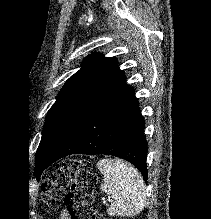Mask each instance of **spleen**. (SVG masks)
<instances>
[{
    "label": "spleen",
    "mask_w": 211,
    "mask_h": 219,
    "mask_svg": "<svg viewBox=\"0 0 211 219\" xmlns=\"http://www.w3.org/2000/svg\"><path fill=\"white\" fill-rule=\"evenodd\" d=\"M97 167L104 178L102 191L114 199L108 214L133 216L140 213L145 206L146 193L139 172L128 162L119 159H102Z\"/></svg>",
    "instance_id": "spleen-1"
}]
</instances>
